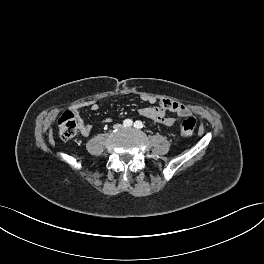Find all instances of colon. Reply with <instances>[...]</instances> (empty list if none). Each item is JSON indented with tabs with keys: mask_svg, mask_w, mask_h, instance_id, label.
<instances>
[{
	"mask_svg": "<svg viewBox=\"0 0 264 264\" xmlns=\"http://www.w3.org/2000/svg\"><path fill=\"white\" fill-rule=\"evenodd\" d=\"M196 126L194 117L189 116L184 118L179 124L180 134L184 137H189L193 134ZM78 128L77 116L74 112L66 111L58 119V130L61 139L67 141L72 139Z\"/></svg>",
	"mask_w": 264,
	"mask_h": 264,
	"instance_id": "colon-1",
	"label": "colon"
}]
</instances>
